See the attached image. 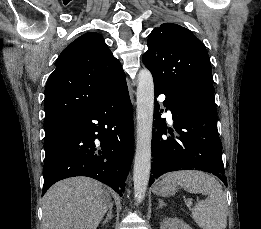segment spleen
Here are the masks:
<instances>
[{"mask_svg":"<svg viewBox=\"0 0 261 229\" xmlns=\"http://www.w3.org/2000/svg\"><path fill=\"white\" fill-rule=\"evenodd\" d=\"M165 181L178 183L188 193L207 195L192 209V219L201 229H226L228 205L219 181L202 171L166 173Z\"/></svg>","mask_w":261,"mask_h":229,"instance_id":"spleen-1","label":"spleen"}]
</instances>
